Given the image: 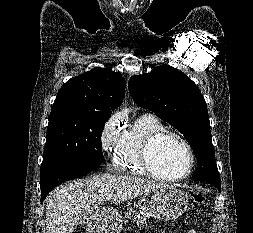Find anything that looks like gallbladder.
<instances>
[{
    "label": "gallbladder",
    "mask_w": 253,
    "mask_h": 233,
    "mask_svg": "<svg viewBox=\"0 0 253 233\" xmlns=\"http://www.w3.org/2000/svg\"><path fill=\"white\" fill-rule=\"evenodd\" d=\"M86 221H87V219H83V220L80 222V224H84V223H86Z\"/></svg>",
    "instance_id": "bac80fb5"
}]
</instances>
